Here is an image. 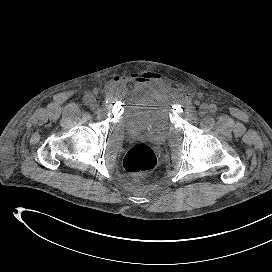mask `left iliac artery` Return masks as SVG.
<instances>
[{
  "label": "left iliac artery",
  "mask_w": 272,
  "mask_h": 272,
  "mask_svg": "<svg viewBox=\"0 0 272 272\" xmlns=\"http://www.w3.org/2000/svg\"><path fill=\"white\" fill-rule=\"evenodd\" d=\"M209 110L211 113H215L217 111V106L212 104V105H210Z\"/></svg>",
  "instance_id": "1"
}]
</instances>
